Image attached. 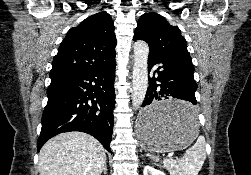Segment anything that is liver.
Instances as JSON below:
<instances>
[{
    "mask_svg": "<svg viewBox=\"0 0 251 175\" xmlns=\"http://www.w3.org/2000/svg\"><path fill=\"white\" fill-rule=\"evenodd\" d=\"M105 161L98 139L82 131H67L44 143L38 165L40 175H101Z\"/></svg>",
    "mask_w": 251,
    "mask_h": 175,
    "instance_id": "obj_1",
    "label": "liver"
}]
</instances>
